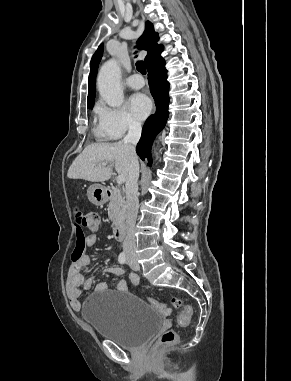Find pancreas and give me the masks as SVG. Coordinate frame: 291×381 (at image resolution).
<instances>
[{"label": "pancreas", "mask_w": 291, "mask_h": 381, "mask_svg": "<svg viewBox=\"0 0 291 381\" xmlns=\"http://www.w3.org/2000/svg\"><path fill=\"white\" fill-rule=\"evenodd\" d=\"M108 210L112 225L113 227H116L123 221L125 213V200L118 189H113V194L108 205Z\"/></svg>", "instance_id": "1"}]
</instances>
